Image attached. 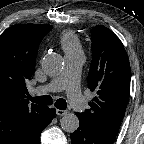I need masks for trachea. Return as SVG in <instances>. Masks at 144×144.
<instances>
[{
    "instance_id": "3493384b",
    "label": "trachea",
    "mask_w": 144,
    "mask_h": 144,
    "mask_svg": "<svg viewBox=\"0 0 144 144\" xmlns=\"http://www.w3.org/2000/svg\"><path fill=\"white\" fill-rule=\"evenodd\" d=\"M29 99L39 105H51L52 98L49 95H44V96H38V97H31L29 96ZM55 107L60 109V110H65L67 108V103L64 99L60 98L55 102Z\"/></svg>"
}]
</instances>
